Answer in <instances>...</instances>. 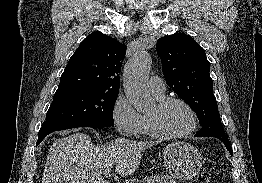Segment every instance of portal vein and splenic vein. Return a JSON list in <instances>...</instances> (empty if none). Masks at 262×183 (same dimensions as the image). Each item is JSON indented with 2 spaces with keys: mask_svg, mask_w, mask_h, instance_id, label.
<instances>
[{
  "mask_svg": "<svg viewBox=\"0 0 262 183\" xmlns=\"http://www.w3.org/2000/svg\"><path fill=\"white\" fill-rule=\"evenodd\" d=\"M110 172H111L110 169H109V170H105V171L103 172V175H104V176H108V175L110 174Z\"/></svg>",
  "mask_w": 262,
  "mask_h": 183,
  "instance_id": "obj_1",
  "label": "portal vein and splenic vein"
}]
</instances>
